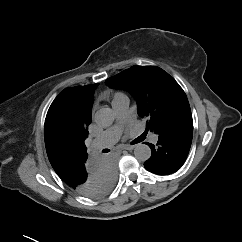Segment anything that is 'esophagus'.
Instances as JSON below:
<instances>
[{
  "label": "esophagus",
  "instance_id": "1",
  "mask_svg": "<svg viewBox=\"0 0 242 242\" xmlns=\"http://www.w3.org/2000/svg\"><path fill=\"white\" fill-rule=\"evenodd\" d=\"M134 148V145H130V144H126L122 147V149H125V150H132Z\"/></svg>",
  "mask_w": 242,
  "mask_h": 242
}]
</instances>
